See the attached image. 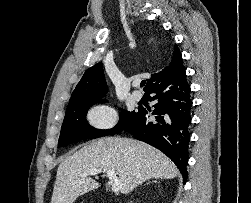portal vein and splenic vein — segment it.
<instances>
[{"label": "portal vein and splenic vein", "instance_id": "portal-vein-and-splenic-vein-1", "mask_svg": "<svg viewBox=\"0 0 251 203\" xmlns=\"http://www.w3.org/2000/svg\"><path fill=\"white\" fill-rule=\"evenodd\" d=\"M101 172L106 173L107 177L109 178L112 191L115 193L119 192L121 189V181L117 178L115 171H113L111 169H103V171H102V169H93L87 173L82 174V177L94 176V175H97Z\"/></svg>", "mask_w": 251, "mask_h": 203}]
</instances>
